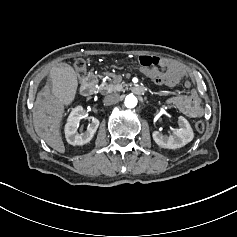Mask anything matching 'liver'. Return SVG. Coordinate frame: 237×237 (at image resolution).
<instances>
[{
  "label": "liver",
  "mask_w": 237,
  "mask_h": 237,
  "mask_svg": "<svg viewBox=\"0 0 237 237\" xmlns=\"http://www.w3.org/2000/svg\"><path fill=\"white\" fill-rule=\"evenodd\" d=\"M45 99L38 94L34 103L33 124L39 137L59 153L65 152V146L60 134V122L63 114V105H60L49 90H45Z\"/></svg>",
  "instance_id": "liver-1"
}]
</instances>
